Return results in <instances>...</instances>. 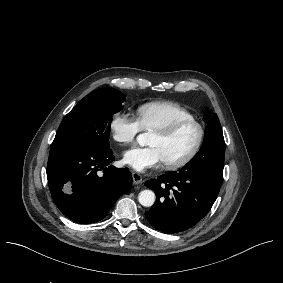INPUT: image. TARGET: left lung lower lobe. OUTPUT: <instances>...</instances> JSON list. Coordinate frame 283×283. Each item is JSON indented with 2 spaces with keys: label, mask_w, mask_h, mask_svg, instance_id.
Returning <instances> with one entry per match:
<instances>
[{
  "label": "left lung lower lobe",
  "mask_w": 283,
  "mask_h": 283,
  "mask_svg": "<svg viewBox=\"0 0 283 283\" xmlns=\"http://www.w3.org/2000/svg\"><path fill=\"white\" fill-rule=\"evenodd\" d=\"M145 185L156 193L146 218L165 233L185 231L198 223L211 209L221 187L208 174L190 170L164 174Z\"/></svg>",
  "instance_id": "left-lung-lower-lobe-1"
}]
</instances>
